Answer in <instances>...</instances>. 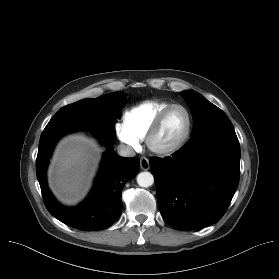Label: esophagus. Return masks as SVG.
Masks as SVG:
<instances>
[{
	"label": "esophagus",
	"mask_w": 279,
	"mask_h": 279,
	"mask_svg": "<svg viewBox=\"0 0 279 279\" xmlns=\"http://www.w3.org/2000/svg\"><path fill=\"white\" fill-rule=\"evenodd\" d=\"M150 167V163H149V160L146 158V157H142L140 159V168L142 170H148Z\"/></svg>",
	"instance_id": "1"
}]
</instances>
